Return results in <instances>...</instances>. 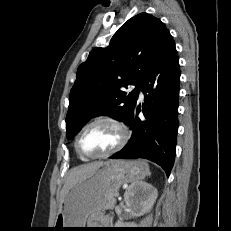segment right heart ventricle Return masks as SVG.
Masks as SVG:
<instances>
[{
	"label": "right heart ventricle",
	"instance_id": "1",
	"mask_svg": "<svg viewBox=\"0 0 231 231\" xmlns=\"http://www.w3.org/2000/svg\"><path fill=\"white\" fill-rule=\"evenodd\" d=\"M80 159H81V160H86V159H83V158H81V157H80Z\"/></svg>",
	"mask_w": 231,
	"mask_h": 231
}]
</instances>
